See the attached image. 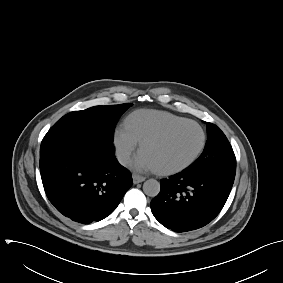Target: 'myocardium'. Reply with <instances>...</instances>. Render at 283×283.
Here are the masks:
<instances>
[{
	"label": "myocardium",
	"instance_id": "obj_1",
	"mask_svg": "<svg viewBox=\"0 0 283 283\" xmlns=\"http://www.w3.org/2000/svg\"><path fill=\"white\" fill-rule=\"evenodd\" d=\"M182 125H193L199 130V132L201 134L200 145L197 148L196 152L184 163H182V164H180L176 167H172V168H168V169H158L157 173L162 175V176H171V175L178 174V173L188 169L190 166H192L198 160V158L203 153V151L206 147V143H207V135H206L204 128L198 122H196L194 120L184 119L182 121H179V122H176L174 124L169 125L168 127L164 128L163 130H161L160 132H158L154 135L146 137L140 143V150L143 151V149L145 148V146L147 144L163 140L173 130H175L176 128H178Z\"/></svg>",
	"mask_w": 283,
	"mask_h": 283
}]
</instances>
